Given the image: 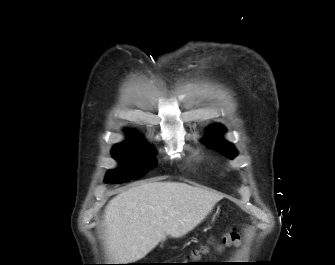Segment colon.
Masks as SVG:
<instances>
[{
  "label": "colon",
  "instance_id": "5ec220e1",
  "mask_svg": "<svg viewBox=\"0 0 335 265\" xmlns=\"http://www.w3.org/2000/svg\"><path fill=\"white\" fill-rule=\"evenodd\" d=\"M240 241V236L236 231H230L225 233L221 239L215 243V249L221 250L225 246H232L236 245ZM210 248L208 246H202L198 250H194L190 253L189 258L196 260L199 259L201 256L208 254Z\"/></svg>",
  "mask_w": 335,
  "mask_h": 265
}]
</instances>
